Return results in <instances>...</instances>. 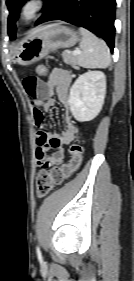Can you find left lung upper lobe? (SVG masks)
<instances>
[{"label": "left lung upper lobe", "mask_w": 134, "mask_h": 281, "mask_svg": "<svg viewBox=\"0 0 134 281\" xmlns=\"http://www.w3.org/2000/svg\"><path fill=\"white\" fill-rule=\"evenodd\" d=\"M47 4V2L49 0H45ZM26 0H7L6 4L7 7L9 9V18H8V34L10 36L11 39H14L16 37V26H15V22L19 16V11L21 6L23 5V3H25Z\"/></svg>", "instance_id": "obj_1"}]
</instances>
